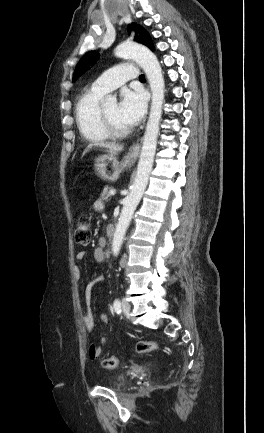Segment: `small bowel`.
I'll list each match as a JSON object with an SVG mask.
<instances>
[{
    "instance_id": "c3829d8e",
    "label": "small bowel",
    "mask_w": 264,
    "mask_h": 433,
    "mask_svg": "<svg viewBox=\"0 0 264 433\" xmlns=\"http://www.w3.org/2000/svg\"><path fill=\"white\" fill-rule=\"evenodd\" d=\"M93 209L95 211H97V212L102 211L104 209L103 202L101 200H96L93 203ZM85 257H86V252L85 251H79L76 254V258L78 260H82ZM76 275H77V278L80 279L81 271H80L79 268L76 269ZM103 283H104V278L102 276H98L93 281H91L87 285V287L85 289V303H86V307H85V309L82 312V322H83V325H84V327H85V329L87 331H92L95 328V318H94V316H93V314L91 312V309H90L91 295H92L93 290L96 287L102 285ZM101 320L103 322L107 323L108 322L107 315L106 314H102L101 315ZM101 353H102V346H100V345L91 344L89 346V348H88V355H89V358L91 360L98 359L100 357Z\"/></svg>"
}]
</instances>
